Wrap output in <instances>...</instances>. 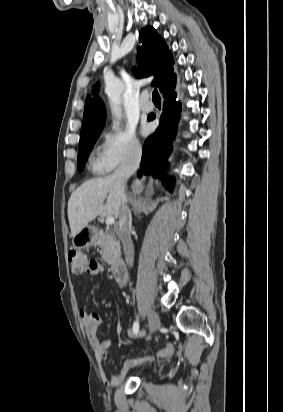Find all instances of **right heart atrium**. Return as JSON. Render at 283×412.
Instances as JSON below:
<instances>
[{
    "mask_svg": "<svg viewBox=\"0 0 283 412\" xmlns=\"http://www.w3.org/2000/svg\"><path fill=\"white\" fill-rule=\"evenodd\" d=\"M142 146L131 130H115L104 134L99 154L100 164L105 171L140 156Z\"/></svg>",
    "mask_w": 283,
    "mask_h": 412,
    "instance_id": "1",
    "label": "right heart atrium"
}]
</instances>
